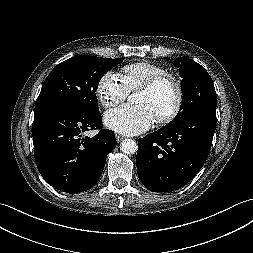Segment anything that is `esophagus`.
Segmentation results:
<instances>
[{
  "instance_id": "esophagus-1",
  "label": "esophagus",
  "mask_w": 253,
  "mask_h": 253,
  "mask_svg": "<svg viewBox=\"0 0 253 253\" xmlns=\"http://www.w3.org/2000/svg\"><path fill=\"white\" fill-rule=\"evenodd\" d=\"M116 140L117 142H120L123 140V136L119 135V134H116Z\"/></svg>"
}]
</instances>
